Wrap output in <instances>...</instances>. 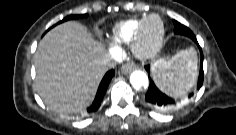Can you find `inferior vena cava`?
<instances>
[{
  "label": "inferior vena cava",
  "mask_w": 236,
  "mask_h": 135,
  "mask_svg": "<svg viewBox=\"0 0 236 135\" xmlns=\"http://www.w3.org/2000/svg\"><path fill=\"white\" fill-rule=\"evenodd\" d=\"M116 61L114 59H112L111 57H108L105 62H104V66L106 68V70L112 69L116 66Z\"/></svg>",
  "instance_id": "602c4592"
}]
</instances>
